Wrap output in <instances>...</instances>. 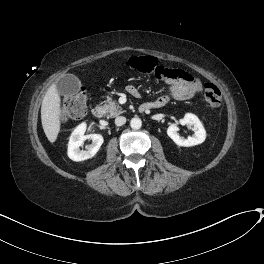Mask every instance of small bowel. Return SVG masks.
<instances>
[{"instance_id":"c3829d8e","label":"small bowel","mask_w":264,"mask_h":264,"mask_svg":"<svg viewBox=\"0 0 264 264\" xmlns=\"http://www.w3.org/2000/svg\"><path fill=\"white\" fill-rule=\"evenodd\" d=\"M172 71L173 75L165 79V83L169 85V93L156 99L145 101L142 105H147L149 109L161 108L165 106L170 99L189 98L200 91V83L192 75L181 69H173ZM134 90L137 89L133 86L128 88V92L132 96H134ZM134 97H140V93L139 96Z\"/></svg>"}]
</instances>
